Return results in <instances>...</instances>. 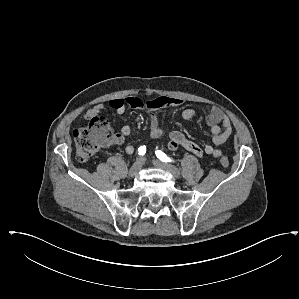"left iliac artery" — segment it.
I'll return each instance as SVG.
<instances>
[{
	"mask_svg": "<svg viewBox=\"0 0 299 299\" xmlns=\"http://www.w3.org/2000/svg\"><path fill=\"white\" fill-rule=\"evenodd\" d=\"M155 153H156L157 158H159L162 162H165V163L173 162V160L170 157H168L165 153H163L162 151L157 150Z\"/></svg>",
	"mask_w": 299,
	"mask_h": 299,
	"instance_id": "44dca946",
	"label": "left iliac artery"
}]
</instances>
